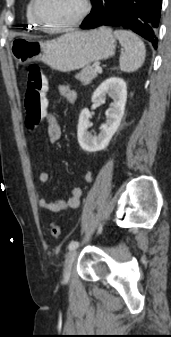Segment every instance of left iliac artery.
<instances>
[{
	"instance_id": "44dca946",
	"label": "left iliac artery",
	"mask_w": 171,
	"mask_h": 337,
	"mask_svg": "<svg viewBox=\"0 0 171 337\" xmlns=\"http://www.w3.org/2000/svg\"><path fill=\"white\" fill-rule=\"evenodd\" d=\"M101 231H102V226L99 227L98 233H100ZM78 246H79L78 241H71L68 248H69V250H75Z\"/></svg>"
}]
</instances>
